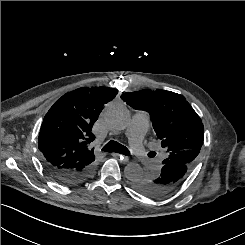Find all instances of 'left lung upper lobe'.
<instances>
[{"label":"left lung upper lobe","instance_id":"1","mask_svg":"<svg viewBox=\"0 0 245 245\" xmlns=\"http://www.w3.org/2000/svg\"><path fill=\"white\" fill-rule=\"evenodd\" d=\"M129 106L145 110L166 151L163 164L195 163L204 140V126L184 96L166 90L144 89L121 95Z\"/></svg>","mask_w":245,"mask_h":245}]
</instances>
